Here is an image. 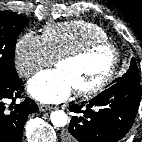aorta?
I'll return each instance as SVG.
<instances>
[{
  "label": "aorta",
  "mask_w": 142,
  "mask_h": 142,
  "mask_svg": "<svg viewBox=\"0 0 142 142\" xmlns=\"http://www.w3.org/2000/svg\"><path fill=\"white\" fill-rule=\"evenodd\" d=\"M68 116L62 110H56L51 114V122L55 127H63L67 124Z\"/></svg>",
  "instance_id": "1"
}]
</instances>
